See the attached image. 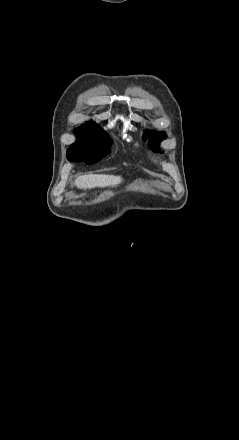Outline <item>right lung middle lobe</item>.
<instances>
[{
  "label": "right lung middle lobe",
  "mask_w": 239,
  "mask_h": 440,
  "mask_svg": "<svg viewBox=\"0 0 239 440\" xmlns=\"http://www.w3.org/2000/svg\"><path fill=\"white\" fill-rule=\"evenodd\" d=\"M74 134L78 140L70 146L69 152L91 148L104 154L109 153L112 141L108 134L95 123L81 125L74 130Z\"/></svg>",
  "instance_id": "right-lung-middle-lobe-1"
}]
</instances>
